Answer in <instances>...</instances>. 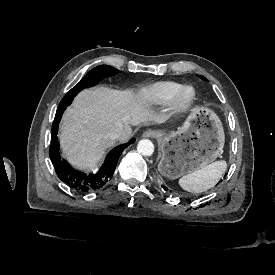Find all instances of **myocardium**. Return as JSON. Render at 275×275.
Returning a JSON list of instances; mask_svg holds the SVG:
<instances>
[{
    "label": "myocardium",
    "instance_id": "obj_1",
    "mask_svg": "<svg viewBox=\"0 0 275 275\" xmlns=\"http://www.w3.org/2000/svg\"><path fill=\"white\" fill-rule=\"evenodd\" d=\"M196 99V93L192 86L181 85L170 101V115L178 116L186 113Z\"/></svg>",
    "mask_w": 275,
    "mask_h": 275
}]
</instances>
